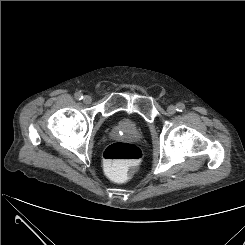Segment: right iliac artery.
Returning a JSON list of instances; mask_svg holds the SVG:
<instances>
[{
	"label": "right iliac artery",
	"mask_w": 245,
	"mask_h": 245,
	"mask_svg": "<svg viewBox=\"0 0 245 245\" xmlns=\"http://www.w3.org/2000/svg\"><path fill=\"white\" fill-rule=\"evenodd\" d=\"M75 98L77 100H81L83 98V95L80 92H78V93L75 94Z\"/></svg>",
	"instance_id": "obj_1"
}]
</instances>
